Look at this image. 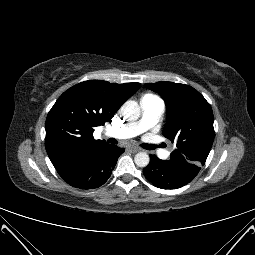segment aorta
<instances>
[{
  "instance_id": "aorta-1",
  "label": "aorta",
  "mask_w": 255,
  "mask_h": 255,
  "mask_svg": "<svg viewBox=\"0 0 255 255\" xmlns=\"http://www.w3.org/2000/svg\"><path fill=\"white\" fill-rule=\"evenodd\" d=\"M141 110L137 102L127 101L122 107V115L128 121H135L140 117ZM135 164L139 167H146L150 158L146 152H139L134 157Z\"/></svg>"
}]
</instances>
